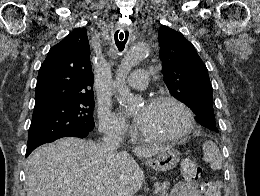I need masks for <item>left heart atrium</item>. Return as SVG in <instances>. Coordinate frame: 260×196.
<instances>
[{
  "instance_id": "39dd6f15",
  "label": "left heart atrium",
  "mask_w": 260,
  "mask_h": 196,
  "mask_svg": "<svg viewBox=\"0 0 260 196\" xmlns=\"http://www.w3.org/2000/svg\"><path fill=\"white\" fill-rule=\"evenodd\" d=\"M137 125L140 127L143 123V115H139L135 119ZM98 192H116V190H99Z\"/></svg>"
}]
</instances>
